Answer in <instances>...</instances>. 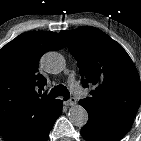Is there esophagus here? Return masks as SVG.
<instances>
[{
	"label": "esophagus",
	"instance_id": "obj_1",
	"mask_svg": "<svg viewBox=\"0 0 141 141\" xmlns=\"http://www.w3.org/2000/svg\"><path fill=\"white\" fill-rule=\"evenodd\" d=\"M76 103H77V100L75 97H71L68 101L65 102L67 106H74L76 105Z\"/></svg>",
	"mask_w": 141,
	"mask_h": 141
}]
</instances>
